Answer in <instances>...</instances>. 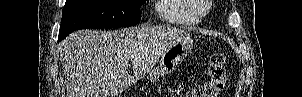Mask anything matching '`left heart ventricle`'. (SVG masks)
Returning <instances> with one entry per match:
<instances>
[{"label":"left heart ventricle","mask_w":302,"mask_h":97,"mask_svg":"<svg viewBox=\"0 0 302 97\" xmlns=\"http://www.w3.org/2000/svg\"><path fill=\"white\" fill-rule=\"evenodd\" d=\"M197 2H198V4H199V7H200V9H203V7H201V0H197Z\"/></svg>","instance_id":"left-heart-ventricle-1"}]
</instances>
